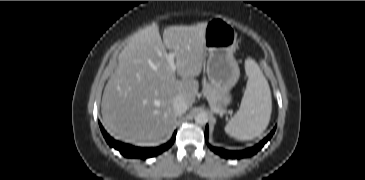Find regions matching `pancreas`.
Wrapping results in <instances>:
<instances>
[{
    "mask_svg": "<svg viewBox=\"0 0 365 180\" xmlns=\"http://www.w3.org/2000/svg\"><path fill=\"white\" fill-rule=\"evenodd\" d=\"M204 95L207 98L208 102L215 108H220V101L217 91L210 85L205 84L204 86Z\"/></svg>",
    "mask_w": 365,
    "mask_h": 180,
    "instance_id": "cf45deb5",
    "label": "pancreas"
}]
</instances>
